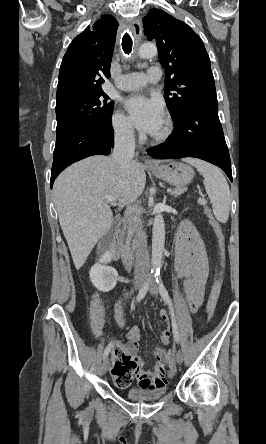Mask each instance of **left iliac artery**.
<instances>
[{"mask_svg": "<svg viewBox=\"0 0 266 444\" xmlns=\"http://www.w3.org/2000/svg\"><path fill=\"white\" fill-rule=\"evenodd\" d=\"M156 276H157L156 282L159 287L160 295L162 296L165 303L168 304L169 309H170L173 336H174L175 341L178 343L179 342V332H178V327H177L176 318H175V314H174L173 303L169 297L168 291L166 290V288L162 282L161 276L159 274H157Z\"/></svg>", "mask_w": 266, "mask_h": 444, "instance_id": "obj_1", "label": "left iliac artery"}]
</instances>
